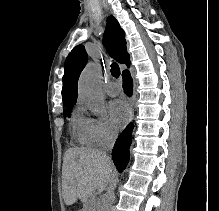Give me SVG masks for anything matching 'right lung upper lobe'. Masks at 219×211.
I'll use <instances>...</instances> for the list:
<instances>
[{"instance_id": "obj_1", "label": "right lung upper lobe", "mask_w": 219, "mask_h": 211, "mask_svg": "<svg viewBox=\"0 0 219 211\" xmlns=\"http://www.w3.org/2000/svg\"><path fill=\"white\" fill-rule=\"evenodd\" d=\"M103 44L119 63H125L127 65L130 63V57L126 51L124 31L113 16L107 18ZM86 62L87 53L83 45L74 47L66 58L62 89L64 105L76 102L78 92L77 83Z\"/></svg>"}]
</instances>
